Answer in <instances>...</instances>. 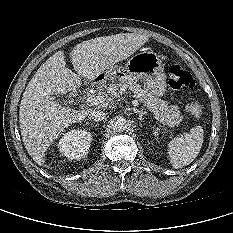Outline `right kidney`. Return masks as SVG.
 <instances>
[{"label": "right kidney", "instance_id": "obj_1", "mask_svg": "<svg viewBox=\"0 0 233 233\" xmlns=\"http://www.w3.org/2000/svg\"><path fill=\"white\" fill-rule=\"evenodd\" d=\"M91 140L90 132L82 129H72L59 140L58 148L65 157L78 160L88 154Z\"/></svg>", "mask_w": 233, "mask_h": 233}]
</instances>
